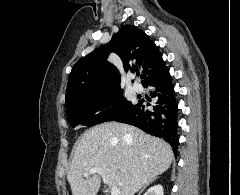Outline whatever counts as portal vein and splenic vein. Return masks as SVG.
<instances>
[{"label":"portal vein and splenic vein","mask_w":240,"mask_h":195,"mask_svg":"<svg viewBox=\"0 0 240 195\" xmlns=\"http://www.w3.org/2000/svg\"><path fill=\"white\" fill-rule=\"evenodd\" d=\"M90 173H101V175H103L101 167H91V169H89L88 173H84V177H88V175H90ZM103 181H104V183H108V181H107V179H105L104 175H103ZM111 195H121V191H120L119 187H117V185H113V187H111Z\"/></svg>","instance_id":"18ae733b"}]
</instances>
